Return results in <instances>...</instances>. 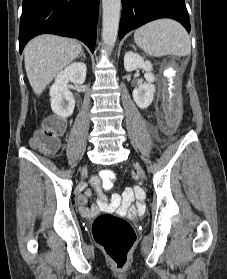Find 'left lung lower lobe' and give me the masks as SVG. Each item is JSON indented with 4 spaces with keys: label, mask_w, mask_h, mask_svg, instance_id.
Masks as SVG:
<instances>
[{
    "label": "left lung lower lobe",
    "mask_w": 227,
    "mask_h": 279,
    "mask_svg": "<svg viewBox=\"0 0 227 279\" xmlns=\"http://www.w3.org/2000/svg\"><path fill=\"white\" fill-rule=\"evenodd\" d=\"M171 18L190 32L189 14L184 0H122L119 39L150 21Z\"/></svg>",
    "instance_id": "1"
}]
</instances>
